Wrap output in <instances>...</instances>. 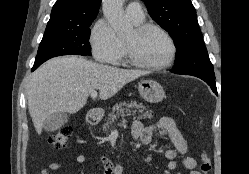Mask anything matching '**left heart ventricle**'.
Masks as SVG:
<instances>
[{
    "label": "left heart ventricle",
    "instance_id": "left-heart-ventricle-1",
    "mask_svg": "<svg viewBox=\"0 0 249 174\" xmlns=\"http://www.w3.org/2000/svg\"><path fill=\"white\" fill-rule=\"evenodd\" d=\"M132 46L138 59L150 64H160L171 56V45L167 38L156 30H151L141 37H136L134 30L125 38Z\"/></svg>",
    "mask_w": 249,
    "mask_h": 174
}]
</instances>
